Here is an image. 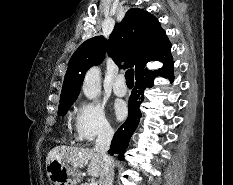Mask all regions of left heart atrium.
<instances>
[{
  "label": "left heart atrium",
  "mask_w": 233,
  "mask_h": 185,
  "mask_svg": "<svg viewBox=\"0 0 233 185\" xmlns=\"http://www.w3.org/2000/svg\"><path fill=\"white\" fill-rule=\"evenodd\" d=\"M114 113L117 118L121 119L126 114V106L123 102L118 101L114 105Z\"/></svg>",
  "instance_id": "obj_1"
}]
</instances>
